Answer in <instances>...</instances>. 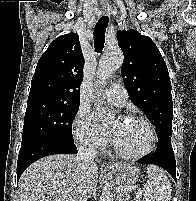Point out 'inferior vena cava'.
Segmentation results:
<instances>
[{
  "instance_id": "inferior-vena-cava-1",
  "label": "inferior vena cava",
  "mask_w": 196,
  "mask_h": 201,
  "mask_svg": "<svg viewBox=\"0 0 196 201\" xmlns=\"http://www.w3.org/2000/svg\"><path fill=\"white\" fill-rule=\"evenodd\" d=\"M95 156L96 150L93 144L85 140L79 143L76 161L80 165H84L85 163H92Z\"/></svg>"
}]
</instances>
